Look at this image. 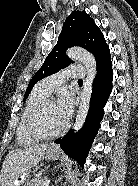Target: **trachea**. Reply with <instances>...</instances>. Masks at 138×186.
Returning a JSON list of instances; mask_svg holds the SVG:
<instances>
[{
	"instance_id": "1",
	"label": "trachea",
	"mask_w": 138,
	"mask_h": 186,
	"mask_svg": "<svg viewBox=\"0 0 138 186\" xmlns=\"http://www.w3.org/2000/svg\"><path fill=\"white\" fill-rule=\"evenodd\" d=\"M78 82H83V80L82 79H79Z\"/></svg>"
}]
</instances>
